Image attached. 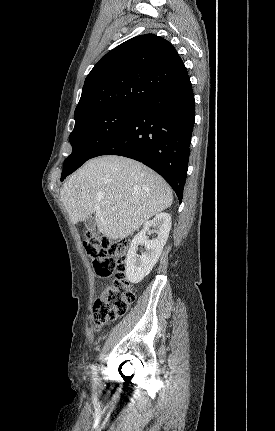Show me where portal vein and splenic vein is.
<instances>
[{"label":"portal vein and splenic vein","instance_id":"portal-vein-and-splenic-vein-1","mask_svg":"<svg viewBox=\"0 0 275 431\" xmlns=\"http://www.w3.org/2000/svg\"><path fill=\"white\" fill-rule=\"evenodd\" d=\"M112 210H116V207H112Z\"/></svg>","mask_w":275,"mask_h":431}]
</instances>
